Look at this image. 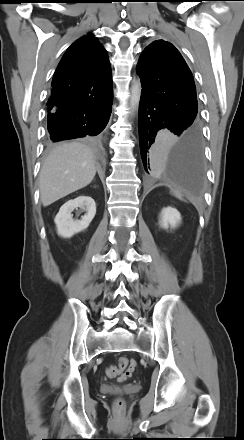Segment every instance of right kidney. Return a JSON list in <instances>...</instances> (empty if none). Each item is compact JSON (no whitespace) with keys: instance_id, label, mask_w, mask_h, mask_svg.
<instances>
[{"instance_id":"ca27d5eb","label":"right kidney","mask_w":244,"mask_h":440,"mask_svg":"<svg viewBox=\"0 0 244 440\" xmlns=\"http://www.w3.org/2000/svg\"><path fill=\"white\" fill-rule=\"evenodd\" d=\"M82 209L86 214L81 220L73 219L72 212L75 209ZM96 214V204L94 199L89 196H79L67 201L61 206L54 222L57 227V233L63 238H71L73 235L87 229Z\"/></svg>"}]
</instances>
